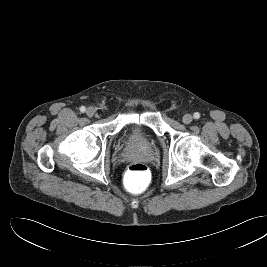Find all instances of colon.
<instances>
[{"mask_svg":"<svg viewBox=\"0 0 267 267\" xmlns=\"http://www.w3.org/2000/svg\"><path fill=\"white\" fill-rule=\"evenodd\" d=\"M151 180V175L148 167L140 162L132 163L124 176L125 188L133 194H138L145 191Z\"/></svg>","mask_w":267,"mask_h":267,"instance_id":"obj_1","label":"colon"}]
</instances>
